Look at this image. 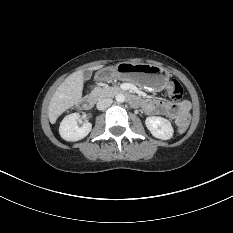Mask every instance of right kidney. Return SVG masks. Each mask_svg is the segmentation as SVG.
<instances>
[{
    "mask_svg": "<svg viewBox=\"0 0 233 233\" xmlns=\"http://www.w3.org/2000/svg\"><path fill=\"white\" fill-rule=\"evenodd\" d=\"M80 117L79 113H72L67 115L59 127L60 136L66 141H78L85 138L92 129L90 122L84 123L82 126L77 125V119Z\"/></svg>",
    "mask_w": 233,
    "mask_h": 233,
    "instance_id": "1",
    "label": "right kidney"
}]
</instances>
